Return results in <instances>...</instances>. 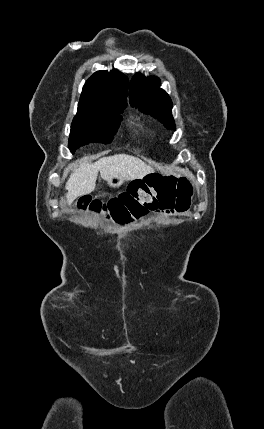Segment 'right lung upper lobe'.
<instances>
[{
  "label": "right lung upper lobe",
  "instance_id": "right-lung-upper-lobe-1",
  "mask_svg": "<svg viewBox=\"0 0 264 429\" xmlns=\"http://www.w3.org/2000/svg\"><path fill=\"white\" fill-rule=\"evenodd\" d=\"M128 79L117 70L97 71L85 83L79 103L126 105Z\"/></svg>",
  "mask_w": 264,
  "mask_h": 429
}]
</instances>
